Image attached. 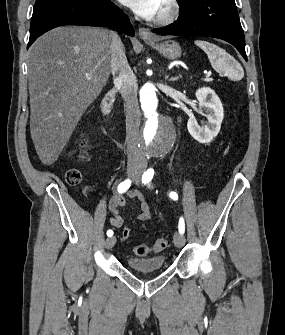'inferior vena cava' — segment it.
<instances>
[{
    "instance_id": "inferior-vena-cava-1",
    "label": "inferior vena cava",
    "mask_w": 285,
    "mask_h": 335,
    "mask_svg": "<svg viewBox=\"0 0 285 335\" xmlns=\"http://www.w3.org/2000/svg\"><path fill=\"white\" fill-rule=\"evenodd\" d=\"M112 36L111 70L113 74H119L120 92L126 104L127 154L129 160L141 162L142 154L138 148V136L141 116L137 100L135 76L128 66L124 46L118 34H115V32H113Z\"/></svg>"
}]
</instances>
